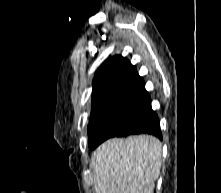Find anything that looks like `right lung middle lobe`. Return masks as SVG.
Returning <instances> with one entry per match:
<instances>
[{
  "label": "right lung middle lobe",
  "mask_w": 221,
  "mask_h": 193,
  "mask_svg": "<svg viewBox=\"0 0 221 193\" xmlns=\"http://www.w3.org/2000/svg\"><path fill=\"white\" fill-rule=\"evenodd\" d=\"M152 113L149 101H121L90 116L88 146L95 149L105 140L118 137L136 127Z\"/></svg>",
  "instance_id": "obj_1"
}]
</instances>
